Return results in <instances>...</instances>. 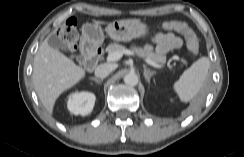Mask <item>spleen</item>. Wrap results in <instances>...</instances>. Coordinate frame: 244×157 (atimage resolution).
<instances>
[{
    "label": "spleen",
    "instance_id": "obj_1",
    "mask_svg": "<svg viewBox=\"0 0 244 157\" xmlns=\"http://www.w3.org/2000/svg\"><path fill=\"white\" fill-rule=\"evenodd\" d=\"M209 64L207 57L199 58L173 84V90L182 102L192 100L200 91L205 82Z\"/></svg>",
    "mask_w": 244,
    "mask_h": 157
}]
</instances>
